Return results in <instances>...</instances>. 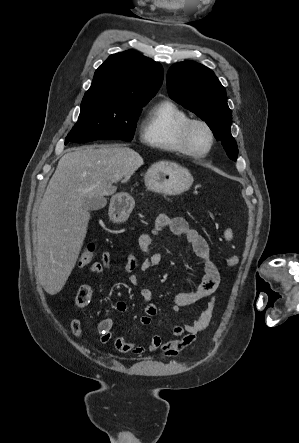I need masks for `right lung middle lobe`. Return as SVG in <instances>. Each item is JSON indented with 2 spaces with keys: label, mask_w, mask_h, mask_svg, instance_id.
Listing matches in <instances>:
<instances>
[{
  "label": "right lung middle lobe",
  "mask_w": 299,
  "mask_h": 443,
  "mask_svg": "<svg viewBox=\"0 0 299 443\" xmlns=\"http://www.w3.org/2000/svg\"><path fill=\"white\" fill-rule=\"evenodd\" d=\"M148 101L84 96L78 122L65 139L83 143L99 139L131 141L141 108Z\"/></svg>",
  "instance_id": "obj_1"
}]
</instances>
